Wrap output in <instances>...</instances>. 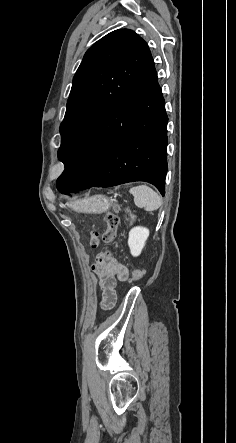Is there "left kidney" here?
Listing matches in <instances>:
<instances>
[{
	"mask_svg": "<svg viewBox=\"0 0 236 443\" xmlns=\"http://www.w3.org/2000/svg\"><path fill=\"white\" fill-rule=\"evenodd\" d=\"M149 236V230L145 227L137 226L130 230L128 238V246L134 257L141 254Z\"/></svg>",
	"mask_w": 236,
	"mask_h": 443,
	"instance_id": "1",
	"label": "left kidney"
}]
</instances>
